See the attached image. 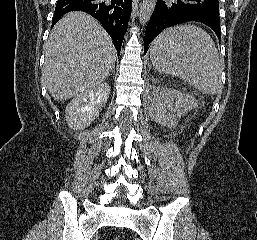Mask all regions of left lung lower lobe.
Listing matches in <instances>:
<instances>
[{"instance_id": "obj_1", "label": "left lung lower lobe", "mask_w": 257, "mask_h": 240, "mask_svg": "<svg viewBox=\"0 0 257 240\" xmlns=\"http://www.w3.org/2000/svg\"><path fill=\"white\" fill-rule=\"evenodd\" d=\"M186 22H200L208 26L220 40L218 0H157L146 27L144 52L162 30Z\"/></svg>"}]
</instances>
